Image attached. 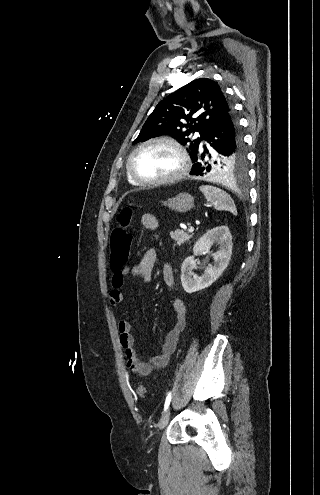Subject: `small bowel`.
Returning <instances> with one entry per match:
<instances>
[{
	"instance_id": "c3829d8e",
	"label": "small bowel",
	"mask_w": 320,
	"mask_h": 495,
	"mask_svg": "<svg viewBox=\"0 0 320 495\" xmlns=\"http://www.w3.org/2000/svg\"><path fill=\"white\" fill-rule=\"evenodd\" d=\"M141 224L149 231L157 230L159 221L152 214H144L141 217ZM156 261V250L150 248L133 267H125L121 271H115L112 276V290L109 294L110 304L117 307L123 303L124 296L121 288L124 285L125 277H139L144 282L152 279L153 267ZM163 280L170 290H174L175 280L173 269L169 264H165L162 269ZM173 325L162 341L160 352L150 357L148 361H143L135 349L134 337L131 333V324L127 320H120L118 323L119 341L124 349L127 366L130 371L139 376H147L156 369L164 368L168 365L170 356L176 349L179 337L185 328L187 321V310L184 302L179 298L173 299Z\"/></svg>"
}]
</instances>
